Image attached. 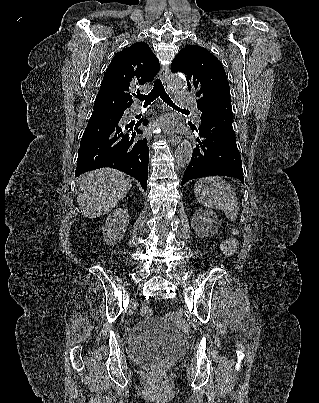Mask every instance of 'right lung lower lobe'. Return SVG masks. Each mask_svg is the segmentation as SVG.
<instances>
[{"label": "right lung lower lobe", "instance_id": "1", "mask_svg": "<svg viewBox=\"0 0 319 403\" xmlns=\"http://www.w3.org/2000/svg\"><path fill=\"white\" fill-rule=\"evenodd\" d=\"M124 112L91 117L83 133L77 159L76 176L101 167L115 168L147 187L149 148L139 129L147 119L121 123Z\"/></svg>", "mask_w": 319, "mask_h": 403}]
</instances>
